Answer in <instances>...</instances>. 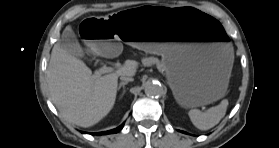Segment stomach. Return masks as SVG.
Returning a JSON list of instances; mask_svg holds the SVG:
<instances>
[{
  "label": "stomach",
  "instance_id": "stomach-1",
  "mask_svg": "<svg viewBox=\"0 0 279 148\" xmlns=\"http://www.w3.org/2000/svg\"><path fill=\"white\" fill-rule=\"evenodd\" d=\"M86 48L116 56L131 45L162 56L174 98L185 108L220 99L226 92L236 48L227 29L190 6H145L91 15L77 28Z\"/></svg>",
  "mask_w": 279,
  "mask_h": 148
}]
</instances>
